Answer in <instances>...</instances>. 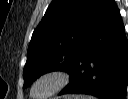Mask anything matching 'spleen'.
Wrapping results in <instances>:
<instances>
[{
	"instance_id": "3e777b00",
	"label": "spleen",
	"mask_w": 128,
	"mask_h": 99,
	"mask_svg": "<svg viewBox=\"0 0 128 99\" xmlns=\"http://www.w3.org/2000/svg\"><path fill=\"white\" fill-rule=\"evenodd\" d=\"M81 99H91V97L83 96Z\"/></svg>"
}]
</instances>
